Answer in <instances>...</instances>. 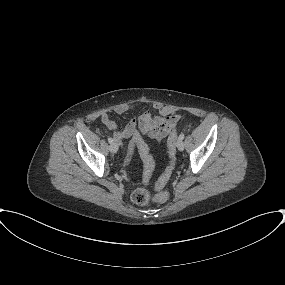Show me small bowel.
<instances>
[{
    "label": "small bowel",
    "instance_id": "1",
    "mask_svg": "<svg viewBox=\"0 0 285 285\" xmlns=\"http://www.w3.org/2000/svg\"><path fill=\"white\" fill-rule=\"evenodd\" d=\"M131 108H133L131 105L118 104L112 111L115 114H123ZM179 118L178 114L161 116L148 110L130 119L123 128L119 127L108 113L101 115V122L106 128L114 130V139L117 143H121L127 138H131L134 142H140L141 134L150 139L161 141L176 127Z\"/></svg>",
    "mask_w": 285,
    "mask_h": 285
}]
</instances>
